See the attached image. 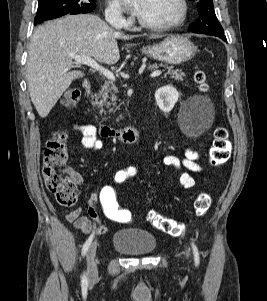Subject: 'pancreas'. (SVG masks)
I'll return each instance as SVG.
<instances>
[{
    "instance_id": "1",
    "label": "pancreas",
    "mask_w": 267,
    "mask_h": 301,
    "mask_svg": "<svg viewBox=\"0 0 267 301\" xmlns=\"http://www.w3.org/2000/svg\"><path fill=\"white\" fill-rule=\"evenodd\" d=\"M159 66L157 64L149 65V69H156ZM168 70V73L171 75L172 78L175 80H182L185 74L182 72V70H173L172 67H166ZM117 93L116 87L110 83V82H105V84L102 86L101 90L98 91L97 94H94L92 96L95 101L93 102L94 105H97L99 107L106 106L109 108L111 104L115 106V101L117 100V96L115 95ZM108 100H111L112 103ZM110 111H113L110 109Z\"/></svg>"
}]
</instances>
